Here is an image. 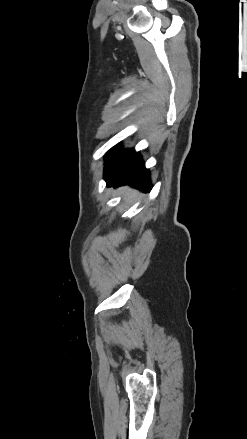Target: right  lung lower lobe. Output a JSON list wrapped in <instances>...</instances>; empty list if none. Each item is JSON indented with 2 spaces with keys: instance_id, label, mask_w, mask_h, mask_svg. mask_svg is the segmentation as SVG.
<instances>
[{
  "instance_id": "1",
  "label": "right lung lower lobe",
  "mask_w": 247,
  "mask_h": 439,
  "mask_svg": "<svg viewBox=\"0 0 247 439\" xmlns=\"http://www.w3.org/2000/svg\"><path fill=\"white\" fill-rule=\"evenodd\" d=\"M104 179L108 186L131 185L144 192L151 190L149 171L134 149H121L106 161Z\"/></svg>"
}]
</instances>
